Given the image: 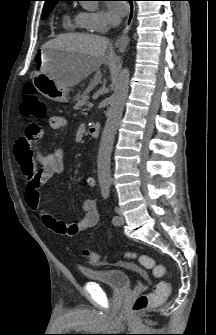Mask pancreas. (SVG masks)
Returning <instances> with one entry per match:
<instances>
[{"label":"pancreas","mask_w":216,"mask_h":335,"mask_svg":"<svg viewBox=\"0 0 216 335\" xmlns=\"http://www.w3.org/2000/svg\"><path fill=\"white\" fill-rule=\"evenodd\" d=\"M89 96H88V92L85 91L83 94L79 95L77 97V103L74 106L75 110L80 109L82 106L86 105L88 102Z\"/></svg>","instance_id":"pancreas-1"}]
</instances>
